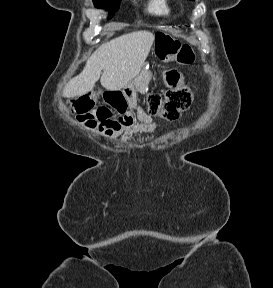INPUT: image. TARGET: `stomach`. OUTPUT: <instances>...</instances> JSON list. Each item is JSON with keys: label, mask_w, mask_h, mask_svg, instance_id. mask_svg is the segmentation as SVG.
I'll use <instances>...</instances> for the list:
<instances>
[{"label": "stomach", "mask_w": 273, "mask_h": 288, "mask_svg": "<svg viewBox=\"0 0 273 288\" xmlns=\"http://www.w3.org/2000/svg\"><path fill=\"white\" fill-rule=\"evenodd\" d=\"M175 41L176 40L168 34H165V33L158 34L155 39V44H154L155 56L164 62L171 60L174 54L173 48H174ZM150 78H151L150 72L146 68H143L140 75L133 82V84L129 83L126 86L129 88H134V87L139 88L138 87L139 83H143L147 85L148 82L150 81Z\"/></svg>", "instance_id": "0dacf381"}]
</instances>
